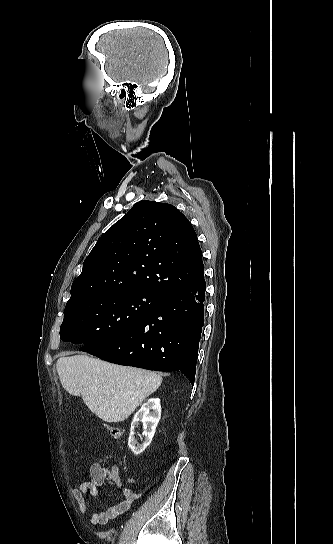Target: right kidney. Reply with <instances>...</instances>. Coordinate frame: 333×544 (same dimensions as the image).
<instances>
[{
	"instance_id": "right-kidney-1",
	"label": "right kidney",
	"mask_w": 333,
	"mask_h": 544,
	"mask_svg": "<svg viewBox=\"0 0 333 544\" xmlns=\"http://www.w3.org/2000/svg\"><path fill=\"white\" fill-rule=\"evenodd\" d=\"M161 417V404L159 398H150L144 402L141 408L134 415L131 422V431L128 439L129 448L135 455L141 454L146 447L151 443L155 434L156 427ZM143 423V436L145 440L142 444H139L134 437V429L138 426L139 422Z\"/></svg>"
}]
</instances>
